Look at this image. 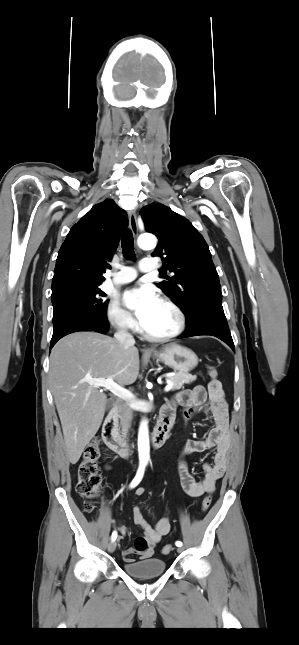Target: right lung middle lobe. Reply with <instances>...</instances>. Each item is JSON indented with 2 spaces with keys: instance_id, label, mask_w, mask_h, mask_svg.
I'll return each instance as SVG.
<instances>
[{
  "instance_id": "right-lung-middle-lobe-1",
  "label": "right lung middle lobe",
  "mask_w": 299,
  "mask_h": 645,
  "mask_svg": "<svg viewBox=\"0 0 299 645\" xmlns=\"http://www.w3.org/2000/svg\"><path fill=\"white\" fill-rule=\"evenodd\" d=\"M105 296L98 287H72L52 294L53 332L85 318L106 321Z\"/></svg>"
}]
</instances>
